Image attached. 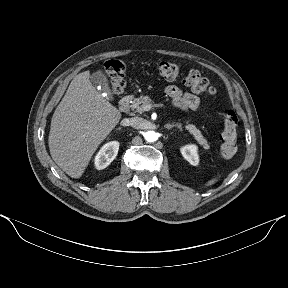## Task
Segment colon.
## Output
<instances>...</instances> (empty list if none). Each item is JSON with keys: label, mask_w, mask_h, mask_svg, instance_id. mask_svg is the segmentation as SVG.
I'll return each mask as SVG.
<instances>
[{"label": "colon", "mask_w": 288, "mask_h": 288, "mask_svg": "<svg viewBox=\"0 0 288 288\" xmlns=\"http://www.w3.org/2000/svg\"><path fill=\"white\" fill-rule=\"evenodd\" d=\"M105 72L112 79V88L115 94L121 93L126 85L125 82V66L120 60H108L104 64ZM158 72L160 76L166 80H175L181 75L180 67L177 64L170 62H161L158 65ZM184 83L198 92L206 96H213L216 90L210 85L207 78L203 77L201 73L195 69L190 70L183 79ZM237 124L238 117L232 110L228 111L223 119L224 130L221 135V145L219 154L224 159L232 158L237 150Z\"/></svg>", "instance_id": "obj_1"}]
</instances>
